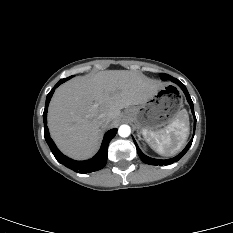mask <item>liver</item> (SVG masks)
Segmentation results:
<instances>
[{
    "mask_svg": "<svg viewBox=\"0 0 233 233\" xmlns=\"http://www.w3.org/2000/svg\"><path fill=\"white\" fill-rule=\"evenodd\" d=\"M160 87L159 82L128 70L76 77L58 87L52 97L48 109L50 134L64 154L88 159L99 147L101 129L116 127L121 109L145 102ZM100 115L109 122L101 124Z\"/></svg>",
    "mask_w": 233,
    "mask_h": 233,
    "instance_id": "1",
    "label": "liver"
}]
</instances>
